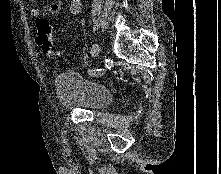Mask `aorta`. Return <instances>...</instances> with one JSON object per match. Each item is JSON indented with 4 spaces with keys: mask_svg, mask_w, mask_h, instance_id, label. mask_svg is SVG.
Returning a JSON list of instances; mask_svg holds the SVG:
<instances>
[{
    "mask_svg": "<svg viewBox=\"0 0 221 174\" xmlns=\"http://www.w3.org/2000/svg\"><path fill=\"white\" fill-rule=\"evenodd\" d=\"M72 4H73L75 10L79 9L81 6V0H73Z\"/></svg>",
    "mask_w": 221,
    "mask_h": 174,
    "instance_id": "1",
    "label": "aorta"
}]
</instances>
